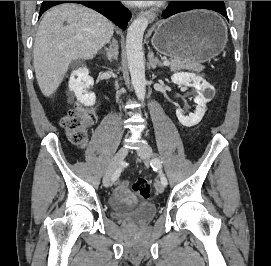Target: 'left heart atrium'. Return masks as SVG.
Masks as SVG:
<instances>
[{
	"label": "left heart atrium",
	"instance_id": "39dd6f15",
	"mask_svg": "<svg viewBox=\"0 0 271 266\" xmlns=\"http://www.w3.org/2000/svg\"><path fill=\"white\" fill-rule=\"evenodd\" d=\"M127 2L136 6H147L154 3L155 1H127Z\"/></svg>",
	"mask_w": 271,
	"mask_h": 266
}]
</instances>
